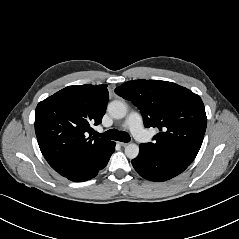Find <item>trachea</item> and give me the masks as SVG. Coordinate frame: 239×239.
<instances>
[{"label": "trachea", "instance_id": "1", "mask_svg": "<svg viewBox=\"0 0 239 239\" xmlns=\"http://www.w3.org/2000/svg\"><path fill=\"white\" fill-rule=\"evenodd\" d=\"M98 137H103L110 140H119L121 142H129L131 140L130 136L126 132H119L115 129H110L103 134H98Z\"/></svg>", "mask_w": 239, "mask_h": 239}]
</instances>
